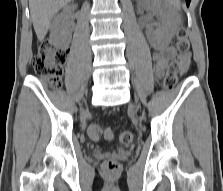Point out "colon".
Returning <instances> with one entry per match:
<instances>
[{
  "instance_id": "obj_1",
  "label": "colon",
  "mask_w": 223,
  "mask_h": 191,
  "mask_svg": "<svg viewBox=\"0 0 223 191\" xmlns=\"http://www.w3.org/2000/svg\"><path fill=\"white\" fill-rule=\"evenodd\" d=\"M176 48L179 54L184 55L189 52L190 42L187 37L186 30L181 28L177 33ZM67 60V52L64 49L55 47L52 44L46 43L41 46L39 52L32 61L34 71L43 76L49 86L57 90L61 86L64 66ZM181 70L178 59L172 60L167 68L164 87L166 90H172L177 83V77ZM93 140L98 141L100 138L109 140L112 138V131L107 127L92 126L89 130ZM120 142L124 145H129L134 140V135L131 131L125 130L120 134ZM120 165L117 161L109 160L104 163L103 170L108 174H115L119 171Z\"/></svg>"
}]
</instances>
